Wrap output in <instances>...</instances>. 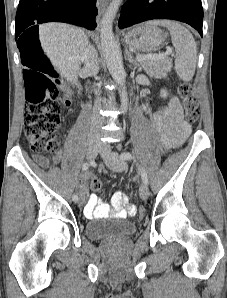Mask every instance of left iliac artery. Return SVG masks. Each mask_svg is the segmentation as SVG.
Here are the masks:
<instances>
[{
    "label": "left iliac artery",
    "mask_w": 227,
    "mask_h": 298,
    "mask_svg": "<svg viewBox=\"0 0 227 298\" xmlns=\"http://www.w3.org/2000/svg\"><path fill=\"white\" fill-rule=\"evenodd\" d=\"M120 159H122V160H131V159H134V156L129 152H123L120 155ZM140 169H141V178H142L143 183L148 184L147 172L142 167Z\"/></svg>",
    "instance_id": "obj_1"
}]
</instances>
